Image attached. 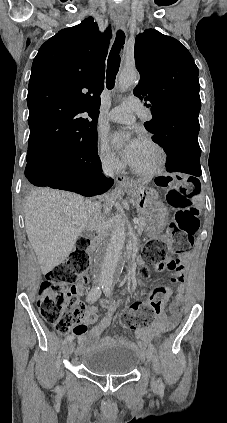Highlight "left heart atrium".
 <instances>
[{
	"label": "left heart atrium",
	"mask_w": 227,
	"mask_h": 423,
	"mask_svg": "<svg viewBox=\"0 0 227 423\" xmlns=\"http://www.w3.org/2000/svg\"><path fill=\"white\" fill-rule=\"evenodd\" d=\"M119 135H116V137ZM143 141L141 139L132 140L123 152L125 161L131 165L135 162L138 150L142 146Z\"/></svg>",
	"instance_id": "1"
}]
</instances>
